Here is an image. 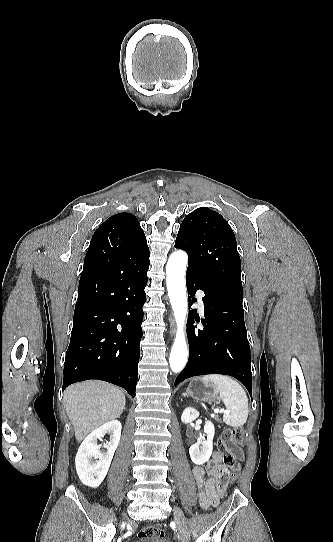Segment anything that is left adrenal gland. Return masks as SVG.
<instances>
[{"instance_id":"1","label":"left adrenal gland","mask_w":333,"mask_h":542,"mask_svg":"<svg viewBox=\"0 0 333 542\" xmlns=\"http://www.w3.org/2000/svg\"><path fill=\"white\" fill-rule=\"evenodd\" d=\"M182 396H185V398H186L187 394H185V392H184V394H182Z\"/></svg>"}]
</instances>
